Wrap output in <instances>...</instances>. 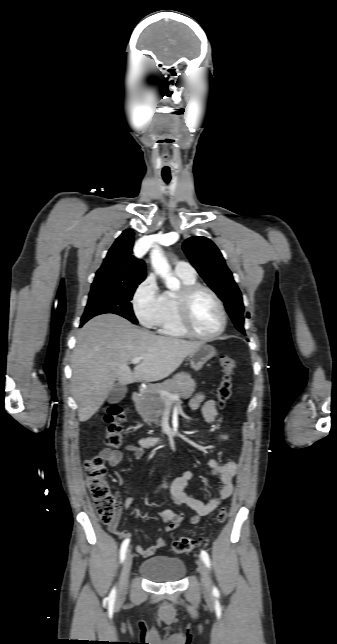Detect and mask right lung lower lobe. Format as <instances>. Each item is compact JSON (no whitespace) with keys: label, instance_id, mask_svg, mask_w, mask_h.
<instances>
[{"label":"right lung lower lobe","instance_id":"98d812e1","mask_svg":"<svg viewBox=\"0 0 337 644\" xmlns=\"http://www.w3.org/2000/svg\"><path fill=\"white\" fill-rule=\"evenodd\" d=\"M84 323L81 322L80 326H82Z\"/></svg>","mask_w":337,"mask_h":644}]
</instances>
